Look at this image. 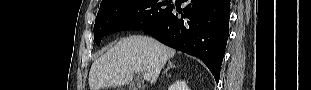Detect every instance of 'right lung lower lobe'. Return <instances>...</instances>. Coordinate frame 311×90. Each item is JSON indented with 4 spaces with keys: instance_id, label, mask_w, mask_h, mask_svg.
Instances as JSON below:
<instances>
[{
    "instance_id": "right-lung-lower-lobe-1",
    "label": "right lung lower lobe",
    "mask_w": 311,
    "mask_h": 90,
    "mask_svg": "<svg viewBox=\"0 0 311 90\" xmlns=\"http://www.w3.org/2000/svg\"><path fill=\"white\" fill-rule=\"evenodd\" d=\"M179 11L174 5L158 22L145 27L146 33L172 48L202 59L219 81L229 33L230 0H184ZM176 10L182 15L177 17Z\"/></svg>"
}]
</instances>
